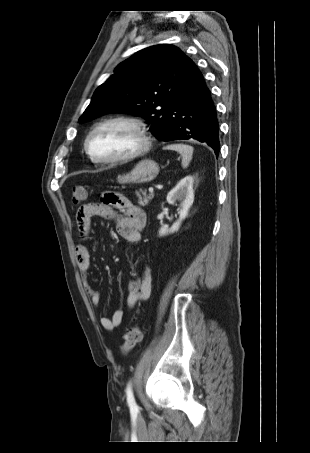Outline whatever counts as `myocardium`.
Listing matches in <instances>:
<instances>
[{
	"instance_id": "1",
	"label": "myocardium",
	"mask_w": 310,
	"mask_h": 453,
	"mask_svg": "<svg viewBox=\"0 0 310 453\" xmlns=\"http://www.w3.org/2000/svg\"><path fill=\"white\" fill-rule=\"evenodd\" d=\"M113 123H125L133 127V129L136 131L139 139H140V146L134 150L133 152L123 155L120 157H115V158H103L95 155L90 147V141L92 136L101 128L104 126H107L109 124ZM151 147V138L147 132V129L145 125L137 118L134 117H129V116H115V117H110L107 119H104L100 122H98L87 134L85 142H84V148L90 159L96 163H101V164H116V163H125L131 160H134L143 154H145Z\"/></svg>"
}]
</instances>
